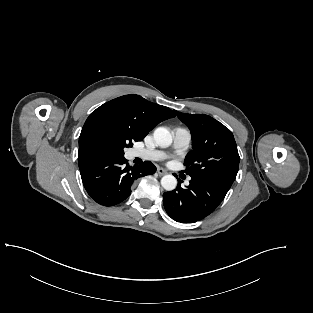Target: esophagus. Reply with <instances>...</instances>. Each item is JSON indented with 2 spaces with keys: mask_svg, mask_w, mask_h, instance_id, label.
Segmentation results:
<instances>
[{
  "mask_svg": "<svg viewBox=\"0 0 313 313\" xmlns=\"http://www.w3.org/2000/svg\"><path fill=\"white\" fill-rule=\"evenodd\" d=\"M157 173L161 176V175H165L167 174V171L161 167L157 168Z\"/></svg>",
  "mask_w": 313,
  "mask_h": 313,
  "instance_id": "1",
  "label": "esophagus"
}]
</instances>
